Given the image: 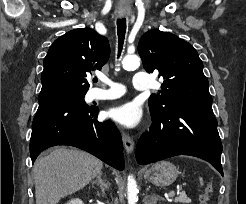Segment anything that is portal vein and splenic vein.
<instances>
[{"label": "portal vein and splenic vein", "instance_id": "portal-vein-and-splenic-vein-1", "mask_svg": "<svg viewBox=\"0 0 246 204\" xmlns=\"http://www.w3.org/2000/svg\"><path fill=\"white\" fill-rule=\"evenodd\" d=\"M169 196H170V197L175 196V192H174V191H171V192L169 193Z\"/></svg>", "mask_w": 246, "mask_h": 204}]
</instances>
